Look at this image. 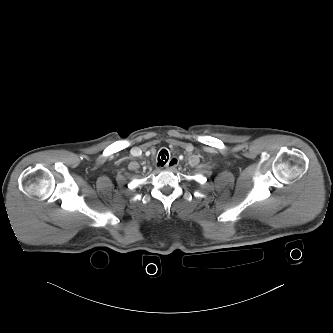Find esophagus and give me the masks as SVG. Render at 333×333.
<instances>
[{
    "instance_id": "esophagus-1",
    "label": "esophagus",
    "mask_w": 333,
    "mask_h": 333,
    "mask_svg": "<svg viewBox=\"0 0 333 333\" xmlns=\"http://www.w3.org/2000/svg\"><path fill=\"white\" fill-rule=\"evenodd\" d=\"M178 165V159L176 157H172L165 165V169L173 170Z\"/></svg>"
}]
</instances>
